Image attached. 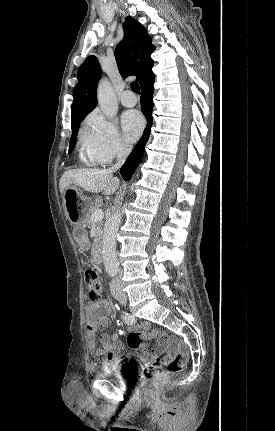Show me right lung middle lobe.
I'll return each instance as SVG.
<instances>
[{"label": "right lung middle lobe", "instance_id": "right-lung-middle-lobe-1", "mask_svg": "<svg viewBox=\"0 0 275 431\" xmlns=\"http://www.w3.org/2000/svg\"><path fill=\"white\" fill-rule=\"evenodd\" d=\"M78 130H79V124L72 127V136H71L70 144H69V153H71L73 151V148L75 146Z\"/></svg>", "mask_w": 275, "mask_h": 431}]
</instances>
